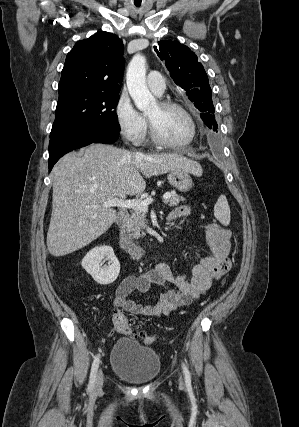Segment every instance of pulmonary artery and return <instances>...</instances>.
<instances>
[{"label": "pulmonary artery", "instance_id": "pulmonary-artery-1", "mask_svg": "<svg viewBox=\"0 0 299 427\" xmlns=\"http://www.w3.org/2000/svg\"><path fill=\"white\" fill-rule=\"evenodd\" d=\"M149 89L157 96H162L166 90V83L163 75L158 71H151L147 76Z\"/></svg>", "mask_w": 299, "mask_h": 427}]
</instances>
